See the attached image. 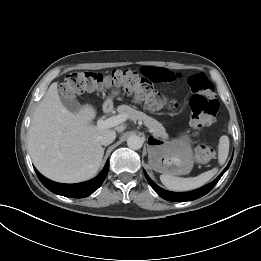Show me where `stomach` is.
Wrapping results in <instances>:
<instances>
[{"instance_id":"obj_1","label":"stomach","mask_w":261,"mask_h":261,"mask_svg":"<svg viewBox=\"0 0 261 261\" xmlns=\"http://www.w3.org/2000/svg\"><path fill=\"white\" fill-rule=\"evenodd\" d=\"M114 89L112 95H118ZM148 159L151 168L159 173L171 176L188 174L194 164L193 150L189 135L166 141L154 136L149 141Z\"/></svg>"}]
</instances>
